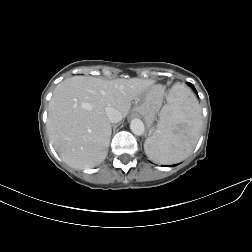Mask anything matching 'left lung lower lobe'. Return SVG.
<instances>
[{
  "mask_svg": "<svg viewBox=\"0 0 252 252\" xmlns=\"http://www.w3.org/2000/svg\"><path fill=\"white\" fill-rule=\"evenodd\" d=\"M192 88H193V90L197 93V91H196V89H195V87L191 84V83H188ZM172 166H174V165H172ZM176 166V165H175Z\"/></svg>",
  "mask_w": 252,
  "mask_h": 252,
  "instance_id": "obj_1",
  "label": "left lung lower lobe"
}]
</instances>
